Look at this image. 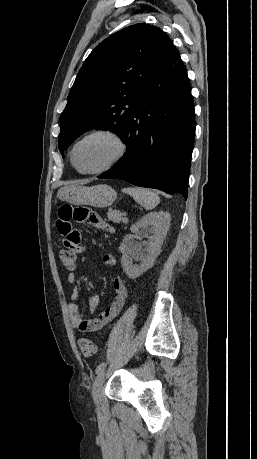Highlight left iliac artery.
<instances>
[{"label":"left iliac artery","instance_id":"obj_1","mask_svg":"<svg viewBox=\"0 0 257 459\" xmlns=\"http://www.w3.org/2000/svg\"><path fill=\"white\" fill-rule=\"evenodd\" d=\"M106 368V363L102 362L96 368V374L101 373Z\"/></svg>","mask_w":257,"mask_h":459}]
</instances>
